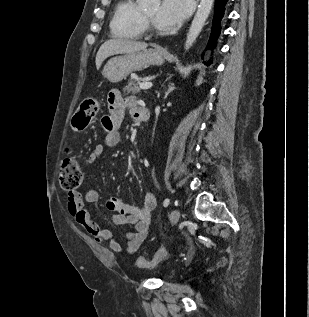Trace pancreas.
Returning a JSON list of instances; mask_svg holds the SVG:
<instances>
[{"label":"pancreas","mask_w":309,"mask_h":317,"mask_svg":"<svg viewBox=\"0 0 309 317\" xmlns=\"http://www.w3.org/2000/svg\"><path fill=\"white\" fill-rule=\"evenodd\" d=\"M139 84L140 83L137 81L135 76H132L128 80V85L124 88V92L126 94H133V95L139 93L140 92Z\"/></svg>","instance_id":"1"}]
</instances>
